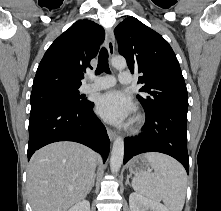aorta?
<instances>
[{
  "instance_id": "1",
  "label": "aorta",
  "mask_w": 221,
  "mask_h": 211,
  "mask_svg": "<svg viewBox=\"0 0 221 211\" xmlns=\"http://www.w3.org/2000/svg\"><path fill=\"white\" fill-rule=\"evenodd\" d=\"M112 66L118 70H122L127 66L126 60L123 57H113L111 60ZM124 157V140L121 136H117L112 147L110 168L112 173H117L123 163Z\"/></svg>"
}]
</instances>
